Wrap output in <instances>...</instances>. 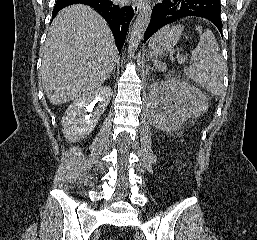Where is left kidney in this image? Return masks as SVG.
Wrapping results in <instances>:
<instances>
[{
	"label": "left kidney",
	"mask_w": 257,
	"mask_h": 240,
	"mask_svg": "<svg viewBox=\"0 0 257 240\" xmlns=\"http://www.w3.org/2000/svg\"><path fill=\"white\" fill-rule=\"evenodd\" d=\"M147 107L153 126L172 132L188 118L199 116L207 107V99L198 88L171 79L151 86Z\"/></svg>",
	"instance_id": "5707ae66"
}]
</instances>
